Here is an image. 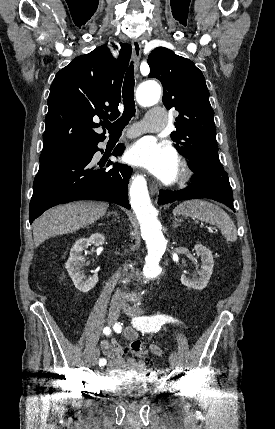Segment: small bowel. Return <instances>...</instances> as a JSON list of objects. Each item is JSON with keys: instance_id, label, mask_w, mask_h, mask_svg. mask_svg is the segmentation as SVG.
Wrapping results in <instances>:
<instances>
[{"instance_id": "obj_1", "label": "small bowel", "mask_w": 275, "mask_h": 429, "mask_svg": "<svg viewBox=\"0 0 275 429\" xmlns=\"http://www.w3.org/2000/svg\"><path fill=\"white\" fill-rule=\"evenodd\" d=\"M124 335L130 342V350H132L131 346L133 342L140 341L137 337L136 331L132 328L125 329ZM100 348L106 356L104 359L106 360L108 370L111 374H116L119 372L138 373L144 369V363L142 361L135 359H125V348L121 346L115 339L101 341ZM149 350L155 356H160L161 354V350L157 345H149Z\"/></svg>"}]
</instances>
